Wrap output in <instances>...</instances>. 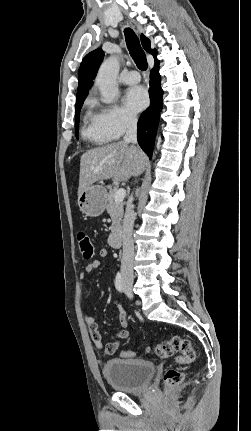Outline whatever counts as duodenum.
<instances>
[{"label": "duodenum", "instance_id": "duodenum-1", "mask_svg": "<svg viewBox=\"0 0 251 431\" xmlns=\"http://www.w3.org/2000/svg\"><path fill=\"white\" fill-rule=\"evenodd\" d=\"M122 231L120 229H116L112 232V234L109 237V243L114 248H119L122 245Z\"/></svg>", "mask_w": 251, "mask_h": 431}]
</instances>
